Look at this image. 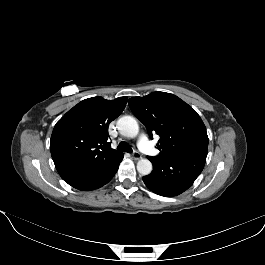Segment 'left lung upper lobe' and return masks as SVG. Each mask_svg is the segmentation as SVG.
<instances>
[{"mask_svg":"<svg viewBox=\"0 0 265 265\" xmlns=\"http://www.w3.org/2000/svg\"><path fill=\"white\" fill-rule=\"evenodd\" d=\"M128 105L146 126L152 139L160 136L159 156L208 149L206 127L197 112L179 97L165 92H153L145 97H133Z\"/></svg>","mask_w":265,"mask_h":265,"instance_id":"obj_1","label":"left lung upper lobe"}]
</instances>
